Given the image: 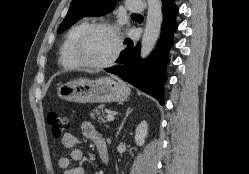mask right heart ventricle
<instances>
[{
    "label": "right heart ventricle",
    "instance_id": "1",
    "mask_svg": "<svg viewBox=\"0 0 249 174\" xmlns=\"http://www.w3.org/2000/svg\"><path fill=\"white\" fill-rule=\"evenodd\" d=\"M87 25L88 23L86 21H82L68 31L60 49V62L64 68L69 70H77L80 68V65L74 57L73 47L77 37Z\"/></svg>",
    "mask_w": 249,
    "mask_h": 174
}]
</instances>
